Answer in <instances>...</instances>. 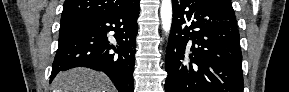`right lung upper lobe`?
I'll use <instances>...</instances> for the list:
<instances>
[{"label":"right lung upper lobe","mask_w":289,"mask_h":92,"mask_svg":"<svg viewBox=\"0 0 289 92\" xmlns=\"http://www.w3.org/2000/svg\"><path fill=\"white\" fill-rule=\"evenodd\" d=\"M135 0H66L60 26L78 25L90 18L129 6Z\"/></svg>","instance_id":"right-lung-upper-lobe-1"}]
</instances>
